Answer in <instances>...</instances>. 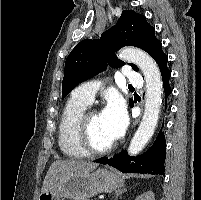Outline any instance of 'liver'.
Masks as SVG:
<instances>
[{
    "label": "liver",
    "instance_id": "liver-1",
    "mask_svg": "<svg viewBox=\"0 0 201 200\" xmlns=\"http://www.w3.org/2000/svg\"><path fill=\"white\" fill-rule=\"evenodd\" d=\"M98 164L81 160H58L51 164L45 176L41 192H47L67 178L93 171Z\"/></svg>",
    "mask_w": 201,
    "mask_h": 200
}]
</instances>
